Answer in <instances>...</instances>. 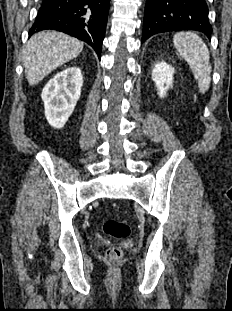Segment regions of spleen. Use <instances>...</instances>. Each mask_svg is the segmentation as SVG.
Wrapping results in <instances>:
<instances>
[{
  "instance_id": "spleen-1",
  "label": "spleen",
  "mask_w": 232,
  "mask_h": 311,
  "mask_svg": "<svg viewBox=\"0 0 232 311\" xmlns=\"http://www.w3.org/2000/svg\"><path fill=\"white\" fill-rule=\"evenodd\" d=\"M174 46L179 54L187 61L198 80L201 93L209 89L211 65L209 50L203 40L192 32H179L173 37Z\"/></svg>"
}]
</instances>
